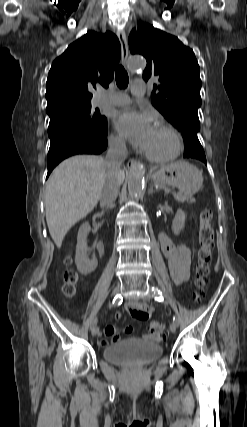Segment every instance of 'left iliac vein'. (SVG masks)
Segmentation results:
<instances>
[{
	"label": "left iliac vein",
	"instance_id": "obj_1",
	"mask_svg": "<svg viewBox=\"0 0 247 427\" xmlns=\"http://www.w3.org/2000/svg\"><path fill=\"white\" fill-rule=\"evenodd\" d=\"M142 299L144 300V301H148L149 299H150V297H149V295H144V296H142ZM177 326H178V324L176 323V322H172L171 324H170V331L172 332V333H174L175 331H176V329H177Z\"/></svg>",
	"mask_w": 247,
	"mask_h": 427
}]
</instances>
